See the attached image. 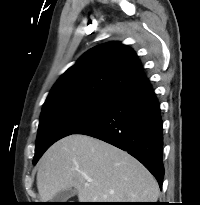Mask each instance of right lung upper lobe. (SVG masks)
Segmentation results:
<instances>
[{
	"mask_svg": "<svg viewBox=\"0 0 200 205\" xmlns=\"http://www.w3.org/2000/svg\"><path fill=\"white\" fill-rule=\"evenodd\" d=\"M145 79L133 49L109 42L87 51L55 83L43 108L80 96L116 99L128 88Z\"/></svg>",
	"mask_w": 200,
	"mask_h": 205,
	"instance_id": "right-lung-upper-lobe-1",
	"label": "right lung upper lobe"
}]
</instances>
